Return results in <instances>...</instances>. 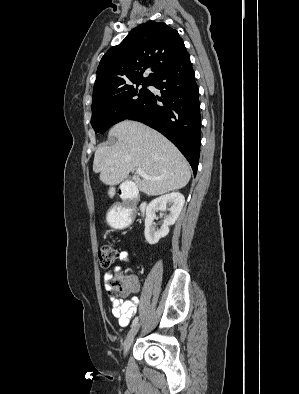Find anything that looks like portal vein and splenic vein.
Returning <instances> with one entry per match:
<instances>
[{
    "label": "portal vein and splenic vein",
    "mask_w": 299,
    "mask_h": 394,
    "mask_svg": "<svg viewBox=\"0 0 299 394\" xmlns=\"http://www.w3.org/2000/svg\"><path fill=\"white\" fill-rule=\"evenodd\" d=\"M136 173L138 175L143 176V177L148 178V179H155L153 177L148 176L141 168H137L136 169Z\"/></svg>",
    "instance_id": "portal-vein-and-splenic-vein-1"
}]
</instances>
